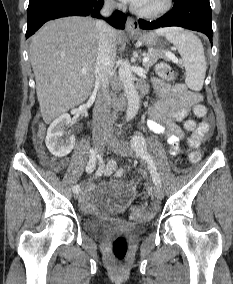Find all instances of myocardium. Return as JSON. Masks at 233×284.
I'll return each instance as SVG.
<instances>
[{"mask_svg":"<svg viewBox=\"0 0 233 284\" xmlns=\"http://www.w3.org/2000/svg\"><path fill=\"white\" fill-rule=\"evenodd\" d=\"M173 5V0H163L162 4L154 9H142L139 7H136L134 9L135 13L143 18H157L165 13H167Z\"/></svg>","mask_w":233,"mask_h":284,"instance_id":"myocardium-1","label":"myocardium"}]
</instances>
